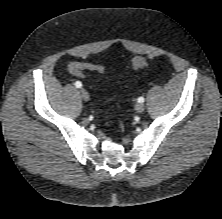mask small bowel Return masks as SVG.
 <instances>
[{
  "label": "small bowel",
  "mask_w": 222,
  "mask_h": 219,
  "mask_svg": "<svg viewBox=\"0 0 222 219\" xmlns=\"http://www.w3.org/2000/svg\"><path fill=\"white\" fill-rule=\"evenodd\" d=\"M94 65L88 62H72L69 64L68 70L71 74L82 77L83 71H94L92 68Z\"/></svg>",
  "instance_id": "1"
}]
</instances>
